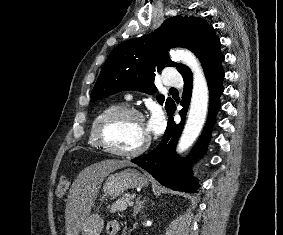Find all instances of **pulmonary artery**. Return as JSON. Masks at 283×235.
I'll return each mask as SVG.
<instances>
[{"label":"pulmonary artery","mask_w":283,"mask_h":235,"mask_svg":"<svg viewBox=\"0 0 283 235\" xmlns=\"http://www.w3.org/2000/svg\"><path fill=\"white\" fill-rule=\"evenodd\" d=\"M164 84L170 87H178L182 85V78L180 77L178 72L172 70L166 73ZM128 98H130V96H128Z\"/></svg>","instance_id":"1"}]
</instances>
